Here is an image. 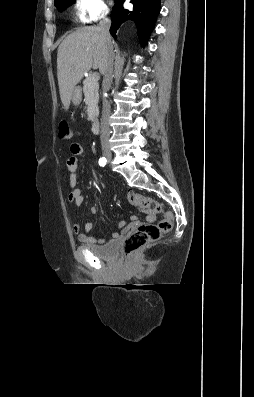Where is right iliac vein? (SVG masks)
I'll return each instance as SVG.
<instances>
[{
	"mask_svg": "<svg viewBox=\"0 0 254 397\" xmlns=\"http://www.w3.org/2000/svg\"><path fill=\"white\" fill-rule=\"evenodd\" d=\"M105 156H106L107 159H111V154L105 153Z\"/></svg>",
	"mask_w": 254,
	"mask_h": 397,
	"instance_id": "63e3f726",
	"label": "right iliac vein"
}]
</instances>
